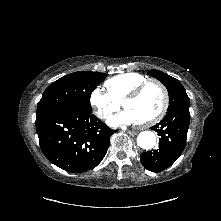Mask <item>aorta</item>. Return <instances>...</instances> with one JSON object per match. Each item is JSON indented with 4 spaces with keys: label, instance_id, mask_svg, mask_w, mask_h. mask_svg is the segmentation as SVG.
<instances>
[{
    "label": "aorta",
    "instance_id": "762f6f07",
    "mask_svg": "<svg viewBox=\"0 0 221 221\" xmlns=\"http://www.w3.org/2000/svg\"><path fill=\"white\" fill-rule=\"evenodd\" d=\"M138 146L142 149L148 150L155 146L156 136L151 131H143L137 137Z\"/></svg>",
    "mask_w": 221,
    "mask_h": 221
}]
</instances>
